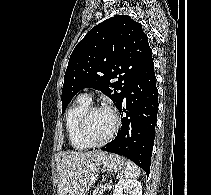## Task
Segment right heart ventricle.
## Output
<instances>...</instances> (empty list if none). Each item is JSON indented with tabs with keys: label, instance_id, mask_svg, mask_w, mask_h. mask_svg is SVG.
<instances>
[{
	"label": "right heart ventricle",
	"instance_id": "1",
	"mask_svg": "<svg viewBox=\"0 0 211 195\" xmlns=\"http://www.w3.org/2000/svg\"><path fill=\"white\" fill-rule=\"evenodd\" d=\"M91 99L79 96L69 108L66 115V130L70 144L77 150H85L88 146L81 140L78 134V121L83 111L90 105Z\"/></svg>",
	"mask_w": 211,
	"mask_h": 195
}]
</instances>
